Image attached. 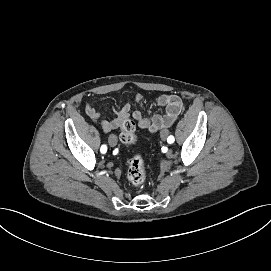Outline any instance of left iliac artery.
Listing matches in <instances>:
<instances>
[{"label":"left iliac artery","mask_w":271,"mask_h":271,"mask_svg":"<svg viewBox=\"0 0 271 271\" xmlns=\"http://www.w3.org/2000/svg\"><path fill=\"white\" fill-rule=\"evenodd\" d=\"M174 140H175V139H174L173 136H169L168 139H167L168 143H173Z\"/></svg>","instance_id":"44dca946"}]
</instances>
